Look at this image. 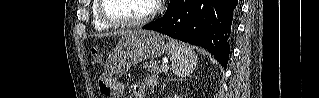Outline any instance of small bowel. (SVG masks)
Wrapping results in <instances>:
<instances>
[{
    "label": "small bowel",
    "mask_w": 319,
    "mask_h": 98,
    "mask_svg": "<svg viewBox=\"0 0 319 98\" xmlns=\"http://www.w3.org/2000/svg\"><path fill=\"white\" fill-rule=\"evenodd\" d=\"M156 84V78L154 76H148L144 83H136L134 85V97L145 98L147 91L152 89Z\"/></svg>",
    "instance_id": "small-bowel-1"
}]
</instances>
